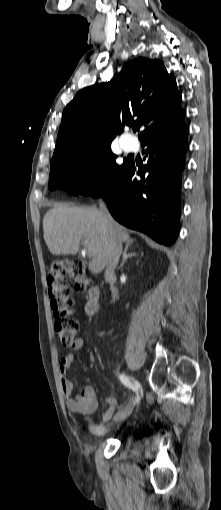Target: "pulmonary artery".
<instances>
[{"label": "pulmonary artery", "mask_w": 221, "mask_h": 510, "mask_svg": "<svg viewBox=\"0 0 221 510\" xmlns=\"http://www.w3.org/2000/svg\"><path fill=\"white\" fill-rule=\"evenodd\" d=\"M122 146L126 151H130L133 149V143L131 141L124 140L122 141Z\"/></svg>", "instance_id": "obj_1"}]
</instances>
